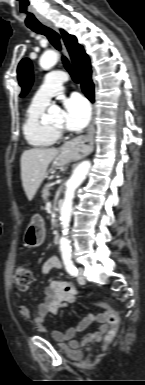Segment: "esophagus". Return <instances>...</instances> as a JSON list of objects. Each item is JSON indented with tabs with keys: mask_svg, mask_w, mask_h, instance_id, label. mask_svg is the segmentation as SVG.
Masks as SVG:
<instances>
[{
	"mask_svg": "<svg viewBox=\"0 0 145 385\" xmlns=\"http://www.w3.org/2000/svg\"><path fill=\"white\" fill-rule=\"evenodd\" d=\"M44 24L51 28L52 30L58 32V29L50 22L45 21ZM64 51L66 55H68L67 50L65 46L63 45ZM94 122L91 121L89 128L87 130L86 135L79 136L71 141H69L65 146L69 149V151L72 154H76L79 157H84L88 154H90L93 151L94 148Z\"/></svg>",
	"mask_w": 145,
	"mask_h": 385,
	"instance_id": "esophagus-1",
	"label": "esophagus"
}]
</instances>
